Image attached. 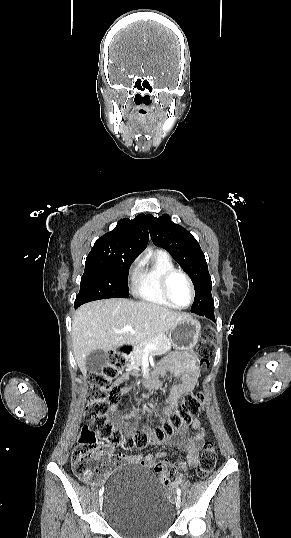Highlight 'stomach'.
I'll return each mask as SVG.
<instances>
[{
	"instance_id": "1",
	"label": "stomach",
	"mask_w": 291,
	"mask_h": 538,
	"mask_svg": "<svg viewBox=\"0 0 291 538\" xmlns=\"http://www.w3.org/2000/svg\"><path fill=\"white\" fill-rule=\"evenodd\" d=\"M200 331V323L189 316L170 329L169 339L176 349L191 350L199 340Z\"/></svg>"
}]
</instances>
